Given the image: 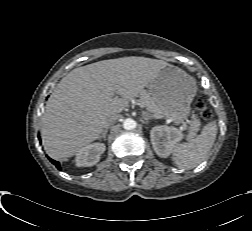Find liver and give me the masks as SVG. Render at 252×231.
Returning <instances> with one entry per match:
<instances>
[{
  "label": "liver",
  "instance_id": "obj_1",
  "mask_svg": "<svg viewBox=\"0 0 252 231\" xmlns=\"http://www.w3.org/2000/svg\"><path fill=\"white\" fill-rule=\"evenodd\" d=\"M166 66L162 60L132 56L69 72L58 83L42 117L46 153L66 160L99 139L106 118L121 113L129 99L137 97Z\"/></svg>",
  "mask_w": 252,
  "mask_h": 231
}]
</instances>
